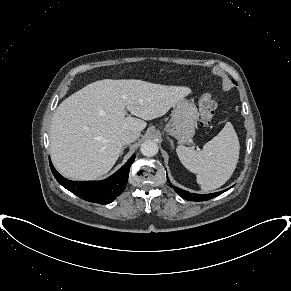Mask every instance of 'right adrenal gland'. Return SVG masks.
<instances>
[{
    "instance_id": "2a0ac1e0",
    "label": "right adrenal gland",
    "mask_w": 291,
    "mask_h": 291,
    "mask_svg": "<svg viewBox=\"0 0 291 291\" xmlns=\"http://www.w3.org/2000/svg\"><path fill=\"white\" fill-rule=\"evenodd\" d=\"M125 148H127V146L122 147L121 156L123 155Z\"/></svg>"
}]
</instances>
